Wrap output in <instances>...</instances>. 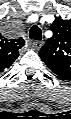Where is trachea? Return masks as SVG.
<instances>
[{"mask_svg": "<svg viewBox=\"0 0 71 119\" xmlns=\"http://www.w3.org/2000/svg\"><path fill=\"white\" fill-rule=\"evenodd\" d=\"M29 37L33 40H41L42 39V31L41 29L37 26L34 25L29 32Z\"/></svg>", "mask_w": 71, "mask_h": 119, "instance_id": "1", "label": "trachea"}]
</instances>
